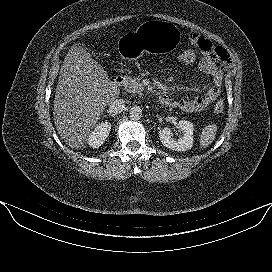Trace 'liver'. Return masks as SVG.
<instances>
[{"instance_id":"liver-1","label":"liver","mask_w":272,"mask_h":272,"mask_svg":"<svg viewBox=\"0 0 272 272\" xmlns=\"http://www.w3.org/2000/svg\"><path fill=\"white\" fill-rule=\"evenodd\" d=\"M115 82L82 47H73L60 70L53 118L61 139L72 149L85 148L90 130L119 95Z\"/></svg>"}]
</instances>
